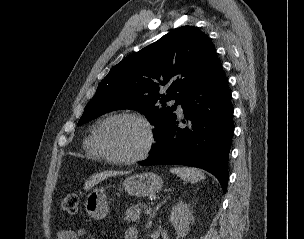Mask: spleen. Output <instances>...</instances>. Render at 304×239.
<instances>
[{
    "label": "spleen",
    "instance_id": "3e777b00",
    "mask_svg": "<svg viewBox=\"0 0 304 239\" xmlns=\"http://www.w3.org/2000/svg\"><path fill=\"white\" fill-rule=\"evenodd\" d=\"M170 171L177 176H179L182 180L188 181L191 183H196L200 180L205 179L204 173L196 168L191 167H175L171 168Z\"/></svg>",
    "mask_w": 304,
    "mask_h": 239
}]
</instances>
